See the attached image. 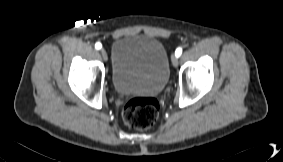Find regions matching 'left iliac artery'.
I'll list each match as a JSON object with an SVG mask.
<instances>
[{
    "label": "left iliac artery",
    "instance_id": "1",
    "mask_svg": "<svg viewBox=\"0 0 283 162\" xmlns=\"http://www.w3.org/2000/svg\"><path fill=\"white\" fill-rule=\"evenodd\" d=\"M181 54H182V48H181V47H178V48L176 49V51H175V55H176L177 57H179Z\"/></svg>",
    "mask_w": 283,
    "mask_h": 162
}]
</instances>
